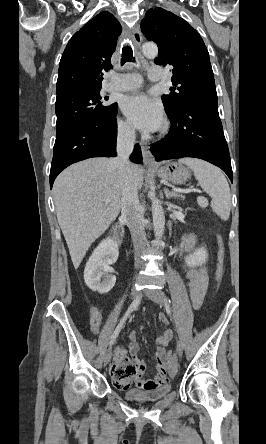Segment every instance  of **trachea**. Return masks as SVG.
I'll list each match as a JSON object with an SVG mask.
<instances>
[{
  "label": "trachea",
  "mask_w": 266,
  "mask_h": 444,
  "mask_svg": "<svg viewBox=\"0 0 266 444\" xmlns=\"http://www.w3.org/2000/svg\"><path fill=\"white\" fill-rule=\"evenodd\" d=\"M127 62H136L135 58L133 57L132 47L129 44L124 45L122 48L121 65H124Z\"/></svg>",
  "instance_id": "1"
}]
</instances>
